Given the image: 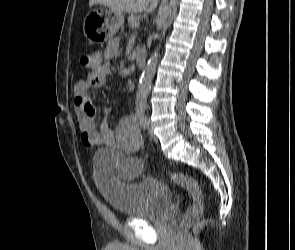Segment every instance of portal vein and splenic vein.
I'll return each instance as SVG.
<instances>
[{
    "mask_svg": "<svg viewBox=\"0 0 295 250\" xmlns=\"http://www.w3.org/2000/svg\"><path fill=\"white\" fill-rule=\"evenodd\" d=\"M139 26V23H135L134 27L137 28Z\"/></svg>",
    "mask_w": 295,
    "mask_h": 250,
    "instance_id": "obj_1",
    "label": "portal vein and splenic vein"
}]
</instances>
